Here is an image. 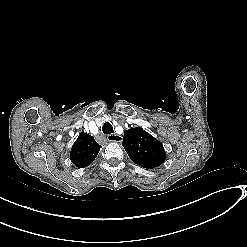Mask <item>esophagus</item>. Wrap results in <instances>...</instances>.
I'll use <instances>...</instances> for the list:
<instances>
[{
	"label": "esophagus",
	"mask_w": 247,
	"mask_h": 247,
	"mask_svg": "<svg viewBox=\"0 0 247 247\" xmlns=\"http://www.w3.org/2000/svg\"><path fill=\"white\" fill-rule=\"evenodd\" d=\"M107 140L110 142H116L119 143L123 140V137L118 134H110L107 136Z\"/></svg>",
	"instance_id": "obj_1"
}]
</instances>
